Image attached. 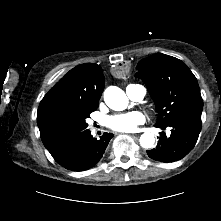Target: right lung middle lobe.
<instances>
[{
	"label": "right lung middle lobe",
	"mask_w": 221,
	"mask_h": 221,
	"mask_svg": "<svg viewBox=\"0 0 221 221\" xmlns=\"http://www.w3.org/2000/svg\"><path fill=\"white\" fill-rule=\"evenodd\" d=\"M95 110L59 107L37 119L41 139L47 150L57 151L84 135L88 131L86 119Z\"/></svg>",
	"instance_id": "dd1d6c3e"
}]
</instances>
